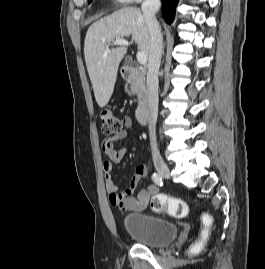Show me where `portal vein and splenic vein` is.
I'll return each instance as SVG.
<instances>
[{
    "mask_svg": "<svg viewBox=\"0 0 265 269\" xmlns=\"http://www.w3.org/2000/svg\"><path fill=\"white\" fill-rule=\"evenodd\" d=\"M114 45H122V46H128L129 42L125 39H116V41H114ZM110 52L109 48L107 47L105 50V54L107 55ZM147 54L143 51H140L137 53V60L140 64L145 65L147 63Z\"/></svg>",
    "mask_w": 265,
    "mask_h": 269,
    "instance_id": "portal-vein-and-splenic-vein-1",
    "label": "portal vein and splenic vein"
}]
</instances>
